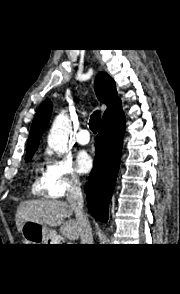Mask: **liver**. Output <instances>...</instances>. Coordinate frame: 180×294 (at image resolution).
<instances>
[{"mask_svg": "<svg viewBox=\"0 0 180 294\" xmlns=\"http://www.w3.org/2000/svg\"><path fill=\"white\" fill-rule=\"evenodd\" d=\"M73 209L69 203L60 200H29L19 204L15 223L18 232L26 221L56 227L60 226V233L71 240L79 237V226L75 219L70 218ZM65 218L68 220L65 221Z\"/></svg>", "mask_w": 180, "mask_h": 294, "instance_id": "liver-1", "label": "liver"}]
</instances>
